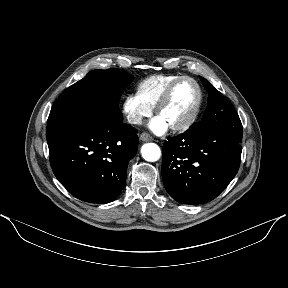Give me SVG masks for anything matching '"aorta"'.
<instances>
[{
  "mask_svg": "<svg viewBox=\"0 0 288 288\" xmlns=\"http://www.w3.org/2000/svg\"><path fill=\"white\" fill-rule=\"evenodd\" d=\"M142 157L149 162H155L161 157V150L155 143L144 144L141 148Z\"/></svg>",
  "mask_w": 288,
  "mask_h": 288,
  "instance_id": "obj_1",
  "label": "aorta"
}]
</instances>
